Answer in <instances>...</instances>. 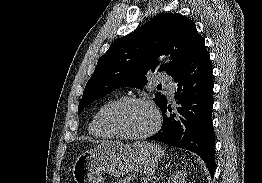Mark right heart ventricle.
I'll list each match as a JSON object with an SVG mask.
<instances>
[{"label": "right heart ventricle", "instance_id": "right-heart-ventricle-1", "mask_svg": "<svg viewBox=\"0 0 262 183\" xmlns=\"http://www.w3.org/2000/svg\"><path fill=\"white\" fill-rule=\"evenodd\" d=\"M115 101H117V99L112 98V99H108L107 101H105L104 103H102L98 109L95 111L89 125H88V130L89 133L94 136L95 138L98 139H108L111 138L112 135L110 133L107 132V130L105 129L104 125H103V114L105 112V110Z\"/></svg>", "mask_w": 262, "mask_h": 183}]
</instances>
